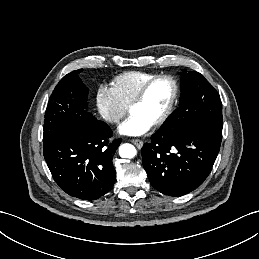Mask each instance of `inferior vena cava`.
<instances>
[{"label": "inferior vena cava", "instance_id": "obj_1", "mask_svg": "<svg viewBox=\"0 0 259 259\" xmlns=\"http://www.w3.org/2000/svg\"><path fill=\"white\" fill-rule=\"evenodd\" d=\"M114 121H116V122H117V121H118V119H115Z\"/></svg>", "mask_w": 259, "mask_h": 259}]
</instances>
